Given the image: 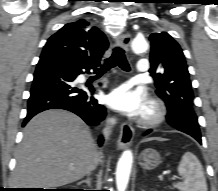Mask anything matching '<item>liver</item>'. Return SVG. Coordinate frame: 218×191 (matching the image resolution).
<instances>
[{
	"label": "liver",
	"instance_id": "obj_1",
	"mask_svg": "<svg viewBox=\"0 0 218 191\" xmlns=\"http://www.w3.org/2000/svg\"><path fill=\"white\" fill-rule=\"evenodd\" d=\"M98 161L96 144L83 120L64 110H47L24 129L13 183L20 188L64 186L91 173Z\"/></svg>",
	"mask_w": 218,
	"mask_h": 191
}]
</instances>
